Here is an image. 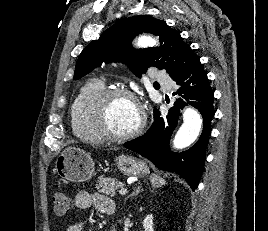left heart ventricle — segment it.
I'll use <instances>...</instances> for the list:
<instances>
[{
    "instance_id": "1",
    "label": "left heart ventricle",
    "mask_w": 268,
    "mask_h": 231,
    "mask_svg": "<svg viewBox=\"0 0 268 231\" xmlns=\"http://www.w3.org/2000/svg\"><path fill=\"white\" fill-rule=\"evenodd\" d=\"M141 118L138 105L128 97L113 99L107 110L110 129L116 133H126L135 129Z\"/></svg>"
}]
</instances>
